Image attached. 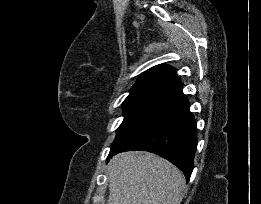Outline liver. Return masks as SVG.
<instances>
[{"instance_id": "obj_1", "label": "liver", "mask_w": 261, "mask_h": 204, "mask_svg": "<svg viewBox=\"0 0 261 204\" xmlns=\"http://www.w3.org/2000/svg\"><path fill=\"white\" fill-rule=\"evenodd\" d=\"M184 186L182 172L164 158L124 152L110 162L107 204H177Z\"/></svg>"}]
</instances>
